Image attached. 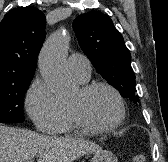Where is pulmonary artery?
Wrapping results in <instances>:
<instances>
[{
	"label": "pulmonary artery",
	"mask_w": 168,
	"mask_h": 162,
	"mask_svg": "<svg viewBox=\"0 0 168 162\" xmlns=\"http://www.w3.org/2000/svg\"><path fill=\"white\" fill-rule=\"evenodd\" d=\"M68 67L71 73L81 82L90 77L91 65L89 59L81 54H71L68 58Z\"/></svg>",
	"instance_id": "e3ab8cb5"
}]
</instances>
